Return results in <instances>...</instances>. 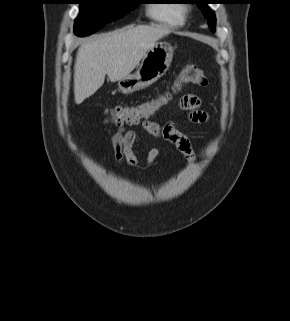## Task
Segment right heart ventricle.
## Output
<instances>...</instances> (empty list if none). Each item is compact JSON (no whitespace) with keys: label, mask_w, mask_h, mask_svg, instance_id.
Returning a JSON list of instances; mask_svg holds the SVG:
<instances>
[{"label":"right heart ventricle","mask_w":290,"mask_h":321,"mask_svg":"<svg viewBox=\"0 0 290 321\" xmlns=\"http://www.w3.org/2000/svg\"><path fill=\"white\" fill-rule=\"evenodd\" d=\"M148 15L154 21L170 27H181L185 23L183 8L173 3L152 5L148 10Z\"/></svg>","instance_id":"e07e8e85"}]
</instances>
